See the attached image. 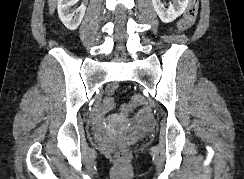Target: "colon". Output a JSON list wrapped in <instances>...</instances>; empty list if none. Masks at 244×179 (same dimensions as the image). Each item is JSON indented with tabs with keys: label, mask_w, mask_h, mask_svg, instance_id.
I'll list each match as a JSON object with an SVG mask.
<instances>
[{
	"label": "colon",
	"mask_w": 244,
	"mask_h": 179,
	"mask_svg": "<svg viewBox=\"0 0 244 179\" xmlns=\"http://www.w3.org/2000/svg\"><path fill=\"white\" fill-rule=\"evenodd\" d=\"M201 0H192L186 7L183 15L181 16L178 23L179 31H187L194 24L195 19L199 13V3ZM102 101H105V107L107 109H117L118 105L114 104L113 96H102ZM145 95H134L132 101H125V104L121 105V114L122 119H129V112H132V109H138L139 106H142L144 110H147L149 107V102H147ZM107 116H114V111H107ZM115 158H127V150H116Z\"/></svg>",
	"instance_id": "colon-1"
}]
</instances>
